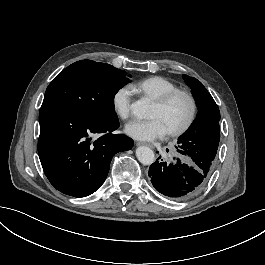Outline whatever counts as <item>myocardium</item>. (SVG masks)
Here are the masks:
<instances>
[{
  "instance_id": "1",
  "label": "myocardium",
  "mask_w": 265,
  "mask_h": 265,
  "mask_svg": "<svg viewBox=\"0 0 265 265\" xmlns=\"http://www.w3.org/2000/svg\"><path fill=\"white\" fill-rule=\"evenodd\" d=\"M177 98H184L188 102L189 115L186 122L181 127L175 130L167 131V135H169L170 137H178L185 134L193 126L198 113V104L195 97L191 93L179 89L161 97L160 99L155 101L154 105L158 109L163 110Z\"/></svg>"
}]
</instances>
